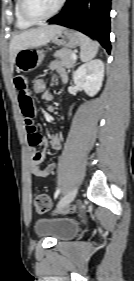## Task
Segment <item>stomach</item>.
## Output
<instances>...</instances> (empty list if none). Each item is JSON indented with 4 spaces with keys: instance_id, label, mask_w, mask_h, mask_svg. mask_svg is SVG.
I'll use <instances>...</instances> for the list:
<instances>
[{
    "instance_id": "0dacf381",
    "label": "stomach",
    "mask_w": 134,
    "mask_h": 281,
    "mask_svg": "<svg viewBox=\"0 0 134 281\" xmlns=\"http://www.w3.org/2000/svg\"><path fill=\"white\" fill-rule=\"evenodd\" d=\"M52 42L65 48H75L81 44V34L62 28L53 38ZM44 53L36 48H27L17 52L14 65L19 72H30L39 67L43 61Z\"/></svg>"
}]
</instances>
